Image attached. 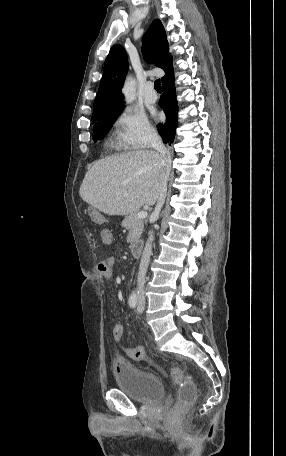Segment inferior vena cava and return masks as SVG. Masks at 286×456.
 <instances>
[{"instance_id":"1","label":"inferior vena cava","mask_w":286,"mask_h":456,"mask_svg":"<svg viewBox=\"0 0 286 456\" xmlns=\"http://www.w3.org/2000/svg\"><path fill=\"white\" fill-rule=\"evenodd\" d=\"M150 144L151 147L154 148L158 153H160L162 157V165L164 167L165 175L160 183L159 189H158V198H157V204L154 210L153 215L158 218L159 212L165 202L166 194H167V179H168V172H169V159L167 158V151L165 146L163 145V142L160 138L159 135L156 133L151 135L150 138ZM153 232H149V237L148 240L145 244V247L143 249V253L141 256V261L139 265V272H138V277H137V295L139 297H144V284H145V276L147 272V268L149 265L150 261V256L152 254V241H153Z\"/></svg>"}]
</instances>
